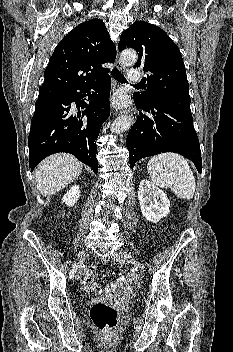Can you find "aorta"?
Returning a JSON list of instances; mask_svg holds the SVG:
<instances>
[{"instance_id": "obj_1", "label": "aorta", "mask_w": 233, "mask_h": 352, "mask_svg": "<svg viewBox=\"0 0 233 352\" xmlns=\"http://www.w3.org/2000/svg\"><path fill=\"white\" fill-rule=\"evenodd\" d=\"M137 53L134 50H125L121 53V60L127 64H134L137 61ZM132 124L130 116L118 117L111 126L112 133H122L127 130Z\"/></svg>"}]
</instances>
